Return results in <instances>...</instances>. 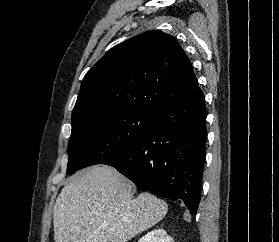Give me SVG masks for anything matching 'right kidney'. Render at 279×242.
Wrapping results in <instances>:
<instances>
[{"label": "right kidney", "mask_w": 279, "mask_h": 242, "mask_svg": "<svg viewBox=\"0 0 279 242\" xmlns=\"http://www.w3.org/2000/svg\"><path fill=\"white\" fill-rule=\"evenodd\" d=\"M138 242H174V240L165 230L158 228L148 232Z\"/></svg>", "instance_id": "obj_1"}]
</instances>
